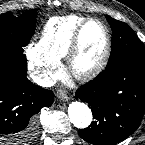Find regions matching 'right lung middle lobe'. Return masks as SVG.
Masks as SVG:
<instances>
[{
    "label": "right lung middle lobe",
    "mask_w": 145,
    "mask_h": 145,
    "mask_svg": "<svg viewBox=\"0 0 145 145\" xmlns=\"http://www.w3.org/2000/svg\"><path fill=\"white\" fill-rule=\"evenodd\" d=\"M37 12L27 11L20 16L11 12L0 15V47L26 46L34 34Z\"/></svg>",
    "instance_id": "obj_1"
}]
</instances>
